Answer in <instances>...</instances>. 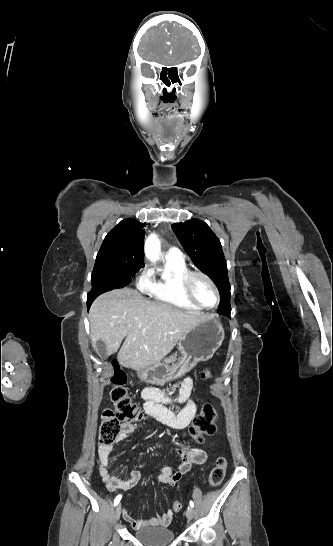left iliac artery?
<instances>
[{"mask_svg": "<svg viewBox=\"0 0 333 546\" xmlns=\"http://www.w3.org/2000/svg\"><path fill=\"white\" fill-rule=\"evenodd\" d=\"M189 504H190V506H191L192 508L194 507V503H193L192 500L189 502Z\"/></svg>", "mask_w": 333, "mask_h": 546, "instance_id": "44dca946", "label": "left iliac artery"}]
</instances>
